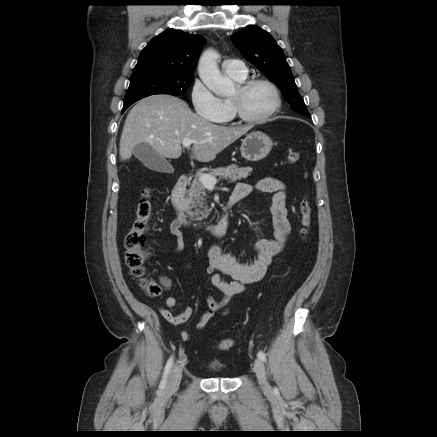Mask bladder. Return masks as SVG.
I'll use <instances>...</instances> for the list:
<instances>
[{"instance_id":"31cf9c89","label":"bladder","mask_w":437,"mask_h":437,"mask_svg":"<svg viewBox=\"0 0 437 437\" xmlns=\"http://www.w3.org/2000/svg\"><path fill=\"white\" fill-rule=\"evenodd\" d=\"M210 368L214 371H220L222 369V365L219 362H214L210 365Z\"/></svg>"}]
</instances>
